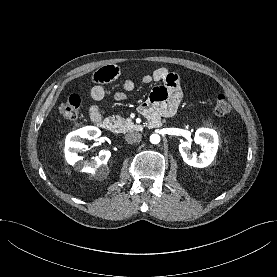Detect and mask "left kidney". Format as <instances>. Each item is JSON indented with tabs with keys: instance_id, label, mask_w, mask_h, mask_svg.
I'll list each match as a JSON object with an SVG mask.
<instances>
[{
	"instance_id": "obj_1",
	"label": "left kidney",
	"mask_w": 277,
	"mask_h": 277,
	"mask_svg": "<svg viewBox=\"0 0 277 277\" xmlns=\"http://www.w3.org/2000/svg\"><path fill=\"white\" fill-rule=\"evenodd\" d=\"M195 142L201 144L205 151L204 153L196 156L191 154V143L183 142L179 145V152L184 160L190 166L203 168L212 163L218 149V135L217 132L209 128H199L195 132Z\"/></svg>"
}]
</instances>
